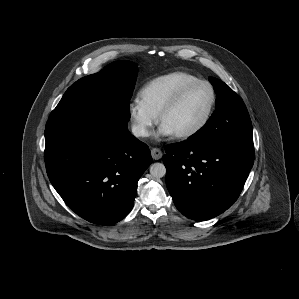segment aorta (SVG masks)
Here are the masks:
<instances>
[{"mask_svg":"<svg viewBox=\"0 0 299 299\" xmlns=\"http://www.w3.org/2000/svg\"><path fill=\"white\" fill-rule=\"evenodd\" d=\"M150 174L154 178H162L166 174V168L162 163H154L150 166Z\"/></svg>","mask_w":299,"mask_h":299,"instance_id":"1","label":"aorta"}]
</instances>
